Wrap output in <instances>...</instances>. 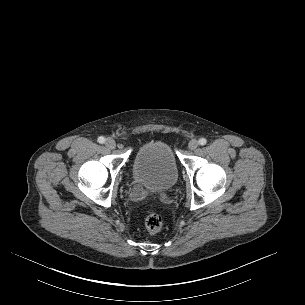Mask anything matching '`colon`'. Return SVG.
<instances>
[{
    "label": "colon",
    "instance_id": "obj_1",
    "mask_svg": "<svg viewBox=\"0 0 305 305\" xmlns=\"http://www.w3.org/2000/svg\"><path fill=\"white\" fill-rule=\"evenodd\" d=\"M163 226V219L157 213H150L145 218V227L151 234L158 233Z\"/></svg>",
    "mask_w": 305,
    "mask_h": 305
}]
</instances>
